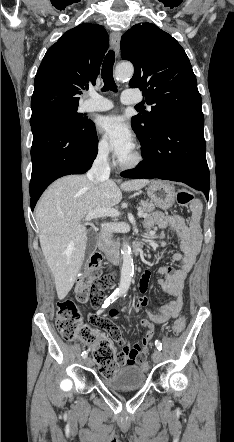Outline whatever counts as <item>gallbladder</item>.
Masks as SVG:
<instances>
[{
  "label": "gallbladder",
  "instance_id": "obj_1",
  "mask_svg": "<svg viewBox=\"0 0 234 442\" xmlns=\"http://www.w3.org/2000/svg\"><path fill=\"white\" fill-rule=\"evenodd\" d=\"M96 248V241L93 232L89 231L87 238V246L85 249L84 263L82 268H84L85 262L89 259Z\"/></svg>",
  "mask_w": 234,
  "mask_h": 442
}]
</instances>
